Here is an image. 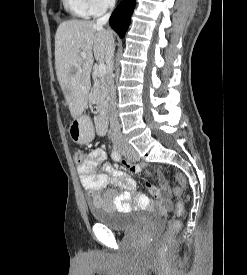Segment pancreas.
Here are the masks:
<instances>
[{
  "label": "pancreas",
  "instance_id": "1",
  "mask_svg": "<svg viewBox=\"0 0 247 275\" xmlns=\"http://www.w3.org/2000/svg\"><path fill=\"white\" fill-rule=\"evenodd\" d=\"M90 101L92 104L96 105V110L98 113L102 114L107 111L108 93L106 90L104 79H100L95 82Z\"/></svg>",
  "mask_w": 247,
  "mask_h": 275
}]
</instances>
